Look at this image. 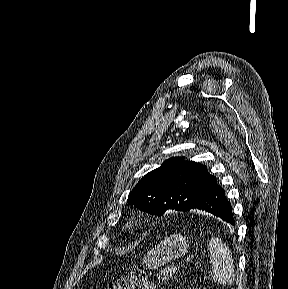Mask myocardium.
Wrapping results in <instances>:
<instances>
[{
    "label": "myocardium",
    "instance_id": "myocardium-1",
    "mask_svg": "<svg viewBox=\"0 0 288 289\" xmlns=\"http://www.w3.org/2000/svg\"><path fill=\"white\" fill-rule=\"evenodd\" d=\"M141 220H142L141 213H139V212L133 213L126 221L125 227L126 228H133V227L137 226L138 224H140Z\"/></svg>",
    "mask_w": 288,
    "mask_h": 289
}]
</instances>
